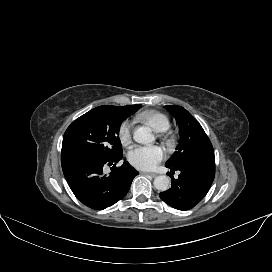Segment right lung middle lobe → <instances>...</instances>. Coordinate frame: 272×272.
Returning a JSON list of instances; mask_svg holds the SVG:
<instances>
[{
  "mask_svg": "<svg viewBox=\"0 0 272 272\" xmlns=\"http://www.w3.org/2000/svg\"><path fill=\"white\" fill-rule=\"evenodd\" d=\"M133 108L124 106L96 107L70 124L62 142V151L83 150L102 158L122 156L119 128Z\"/></svg>",
  "mask_w": 272,
  "mask_h": 272,
  "instance_id": "dd1d6c3e",
  "label": "right lung middle lobe"
}]
</instances>
